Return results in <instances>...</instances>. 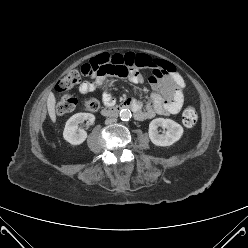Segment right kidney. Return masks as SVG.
I'll use <instances>...</instances> for the list:
<instances>
[{
	"instance_id": "ca27d5eb",
	"label": "right kidney",
	"mask_w": 248,
	"mask_h": 248,
	"mask_svg": "<svg viewBox=\"0 0 248 248\" xmlns=\"http://www.w3.org/2000/svg\"><path fill=\"white\" fill-rule=\"evenodd\" d=\"M95 116L90 113H77L68 119L66 122L63 137L72 145H79L83 143L87 138V132L84 129L78 127L82 121H87L88 125L94 123Z\"/></svg>"
}]
</instances>
